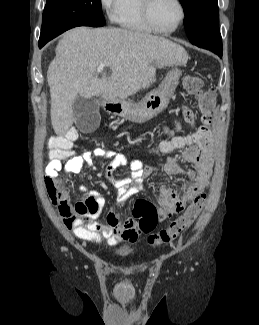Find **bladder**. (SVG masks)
Wrapping results in <instances>:
<instances>
[{
  "label": "bladder",
  "instance_id": "obj_1",
  "mask_svg": "<svg viewBox=\"0 0 259 325\" xmlns=\"http://www.w3.org/2000/svg\"><path fill=\"white\" fill-rule=\"evenodd\" d=\"M115 255L118 257H127L132 253V249L128 247H121L115 250Z\"/></svg>",
  "mask_w": 259,
  "mask_h": 325
}]
</instances>
